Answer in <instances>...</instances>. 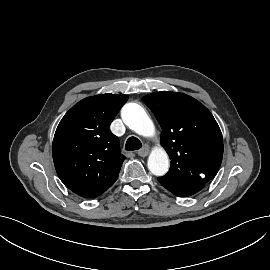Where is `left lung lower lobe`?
Returning a JSON list of instances; mask_svg holds the SVG:
<instances>
[{
  "instance_id": "0a47b994",
  "label": "left lung lower lobe",
  "mask_w": 270,
  "mask_h": 270,
  "mask_svg": "<svg viewBox=\"0 0 270 270\" xmlns=\"http://www.w3.org/2000/svg\"><path fill=\"white\" fill-rule=\"evenodd\" d=\"M198 192V191H197ZM173 194H175L176 196L179 197H186V196H190L195 194L196 192H185V193H179V192H172Z\"/></svg>"
}]
</instances>
